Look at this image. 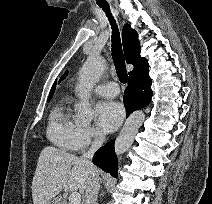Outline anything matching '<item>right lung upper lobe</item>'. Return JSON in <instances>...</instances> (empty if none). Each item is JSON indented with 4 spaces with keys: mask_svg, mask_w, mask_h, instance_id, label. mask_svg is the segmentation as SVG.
<instances>
[{
    "mask_svg": "<svg viewBox=\"0 0 212 204\" xmlns=\"http://www.w3.org/2000/svg\"><path fill=\"white\" fill-rule=\"evenodd\" d=\"M122 42L127 63L134 65V69L129 72V77L135 75L141 69L149 67L148 61L140 56V42L138 40V34L128 24H125L123 27ZM55 87L56 81L51 88L49 100L53 96Z\"/></svg>",
    "mask_w": 212,
    "mask_h": 204,
    "instance_id": "1",
    "label": "right lung upper lobe"
}]
</instances>
